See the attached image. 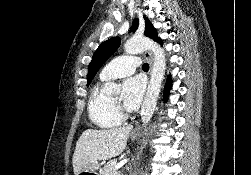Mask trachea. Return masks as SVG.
I'll return each instance as SVG.
<instances>
[{"label": "trachea", "instance_id": "1", "mask_svg": "<svg viewBox=\"0 0 251 175\" xmlns=\"http://www.w3.org/2000/svg\"><path fill=\"white\" fill-rule=\"evenodd\" d=\"M142 68H143V70H148L149 69L148 63H144Z\"/></svg>", "mask_w": 251, "mask_h": 175}]
</instances>
